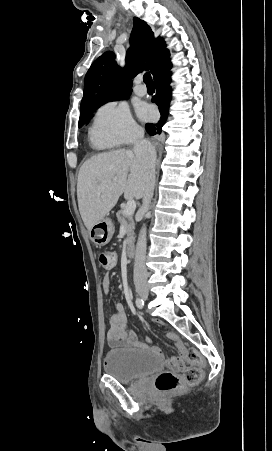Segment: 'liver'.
Returning a JSON list of instances; mask_svg holds the SVG:
<instances>
[{"label": "liver", "mask_w": 272, "mask_h": 451, "mask_svg": "<svg viewBox=\"0 0 272 451\" xmlns=\"http://www.w3.org/2000/svg\"><path fill=\"white\" fill-rule=\"evenodd\" d=\"M145 170L131 150L96 154L81 166L77 180L79 212L87 229L105 218L120 196L143 198Z\"/></svg>", "instance_id": "1"}]
</instances>
